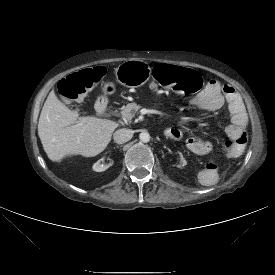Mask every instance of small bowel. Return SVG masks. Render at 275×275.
<instances>
[{
  "mask_svg": "<svg viewBox=\"0 0 275 275\" xmlns=\"http://www.w3.org/2000/svg\"><path fill=\"white\" fill-rule=\"evenodd\" d=\"M224 102L228 104L230 115V123L225 129L226 134L231 139H237L245 133L248 119L242 100L233 87L221 85L218 80L212 79L205 89L191 100L194 107L209 112L217 111L223 106ZM166 135L175 140L182 138V134L178 129H168ZM186 146L191 153L202 157L208 156L213 149L212 143L208 139L197 135L191 136L187 140ZM220 171V162L213 157L207 158L203 162L202 168L197 172V181L204 187H213L219 182Z\"/></svg>",
  "mask_w": 275,
  "mask_h": 275,
  "instance_id": "c3829d8e",
  "label": "small bowel"
}]
</instances>
